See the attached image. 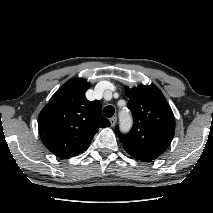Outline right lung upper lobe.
Wrapping results in <instances>:
<instances>
[{
  "label": "right lung upper lobe",
  "instance_id": "right-lung-upper-lobe-1",
  "mask_svg": "<svg viewBox=\"0 0 213 213\" xmlns=\"http://www.w3.org/2000/svg\"><path fill=\"white\" fill-rule=\"evenodd\" d=\"M90 84L82 78L63 84L38 116L43 144L56 156L69 158L85 151L99 128L110 122L101 113V103L85 97Z\"/></svg>",
  "mask_w": 213,
  "mask_h": 213
}]
</instances>
